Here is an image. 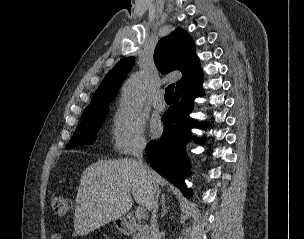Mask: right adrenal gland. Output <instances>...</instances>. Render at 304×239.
<instances>
[{
  "mask_svg": "<svg viewBox=\"0 0 304 239\" xmlns=\"http://www.w3.org/2000/svg\"><path fill=\"white\" fill-rule=\"evenodd\" d=\"M161 205H162V213H161V218L167 213V210L169 207L165 205V194L162 195L161 197Z\"/></svg>",
  "mask_w": 304,
  "mask_h": 239,
  "instance_id": "obj_1",
  "label": "right adrenal gland"
}]
</instances>
